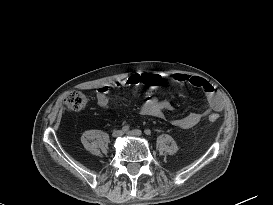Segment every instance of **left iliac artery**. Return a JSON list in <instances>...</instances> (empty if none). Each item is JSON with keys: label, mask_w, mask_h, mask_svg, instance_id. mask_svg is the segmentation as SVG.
<instances>
[{"label": "left iliac artery", "mask_w": 273, "mask_h": 205, "mask_svg": "<svg viewBox=\"0 0 273 205\" xmlns=\"http://www.w3.org/2000/svg\"><path fill=\"white\" fill-rule=\"evenodd\" d=\"M144 133H145L146 135H151V130H150V129H145V130H144Z\"/></svg>", "instance_id": "obj_1"}]
</instances>
